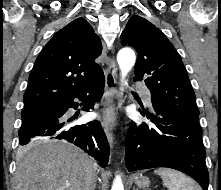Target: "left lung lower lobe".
Returning a JSON list of instances; mask_svg holds the SVG:
<instances>
[{
	"instance_id": "obj_1",
	"label": "left lung lower lobe",
	"mask_w": 221,
	"mask_h": 190,
	"mask_svg": "<svg viewBox=\"0 0 221 190\" xmlns=\"http://www.w3.org/2000/svg\"><path fill=\"white\" fill-rule=\"evenodd\" d=\"M139 109L153 125L131 123L125 138V162L130 172L167 167L179 170L208 190L209 173L199 120L174 110Z\"/></svg>"
}]
</instances>
